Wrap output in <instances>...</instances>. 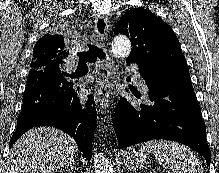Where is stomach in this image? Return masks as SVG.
<instances>
[{
  "mask_svg": "<svg viewBox=\"0 0 219 173\" xmlns=\"http://www.w3.org/2000/svg\"><path fill=\"white\" fill-rule=\"evenodd\" d=\"M122 164L129 170L143 169L148 164L145 154L129 150L123 154Z\"/></svg>",
  "mask_w": 219,
  "mask_h": 173,
  "instance_id": "1",
  "label": "stomach"
}]
</instances>
